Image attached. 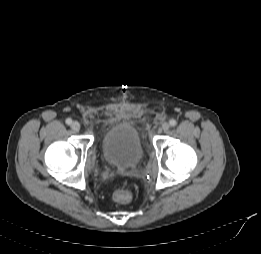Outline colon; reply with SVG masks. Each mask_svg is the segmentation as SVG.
<instances>
[{"label": "colon", "instance_id": "obj_1", "mask_svg": "<svg viewBox=\"0 0 261 254\" xmlns=\"http://www.w3.org/2000/svg\"><path fill=\"white\" fill-rule=\"evenodd\" d=\"M113 199L115 202L120 204H125L131 201L132 199V193L129 190L122 189V190H116L113 195Z\"/></svg>", "mask_w": 261, "mask_h": 254}]
</instances>
